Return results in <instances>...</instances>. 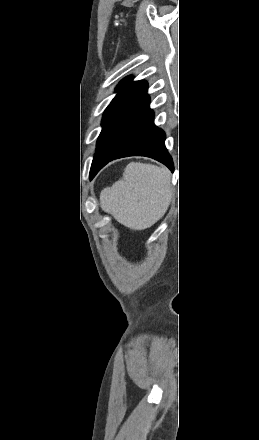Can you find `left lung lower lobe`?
Listing matches in <instances>:
<instances>
[{
    "instance_id": "0a47b994",
    "label": "left lung lower lobe",
    "mask_w": 259,
    "mask_h": 440,
    "mask_svg": "<svg viewBox=\"0 0 259 440\" xmlns=\"http://www.w3.org/2000/svg\"><path fill=\"white\" fill-rule=\"evenodd\" d=\"M147 90L122 120L111 139L96 159L91 178L113 159L127 156H146L165 164L171 171L174 165L165 147V133L154 125V112L149 108Z\"/></svg>"
}]
</instances>
